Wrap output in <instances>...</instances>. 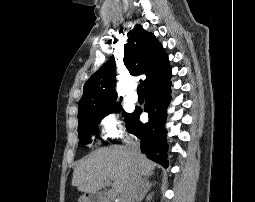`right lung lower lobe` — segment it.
<instances>
[{
	"instance_id": "1",
	"label": "right lung lower lobe",
	"mask_w": 255,
	"mask_h": 202,
	"mask_svg": "<svg viewBox=\"0 0 255 202\" xmlns=\"http://www.w3.org/2000/svg\"><path fill=\"white\" fill-rule=\"evenodd\" d=\"M170 79L165 83L145 91L144 111L149 115V122L142 123L139 116L142 109H136L131 116L128 132L141 140V152L165 168L168 167L165 123L167 107L171 99Z\"/></svg>"
}]
</instances>
